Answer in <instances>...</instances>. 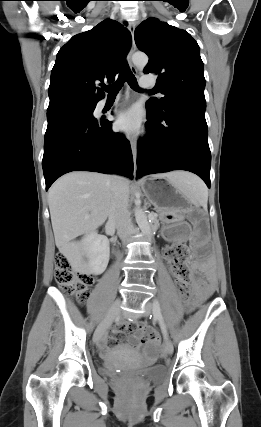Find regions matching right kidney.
<instances>
[{"label": "right kidney", "mask_w": 261, "mask_h": 427, "mask_svg": "<svg viewBox=\"0 0 261 427\" xmlns=\"http://www.w3.org/2000/svg\"><path fill=\"white\" fill-rule=\"evenodd\" d=\"M82 246L87 257V271L96 275L102 274L110 257L107 237L99 235L96 231L89 232L84 236Z\"/></svg>", "instance_id": "ca27d5eb"}]
</instances>
